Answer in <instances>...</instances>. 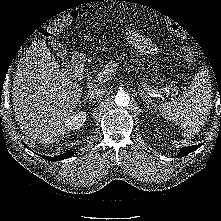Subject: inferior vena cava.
<instances>
[{
    "label": "inferior vena cava",
    "mask_w": 221,
    "mask_h": 221,
    "mask_svg": "<svg viewBox=\"0 0 221 221\" xmlns=\"http://www.w3.org/2000/svg\"><path fill=\"white\" fill-rule=\"evenodd\" d=\"M105 95V91L103 89H99V88H90L88 90V97L93 98V99H97V98H102Z\"/></svg>",
    "instance_id": "602c4592"
}]
</instances>
